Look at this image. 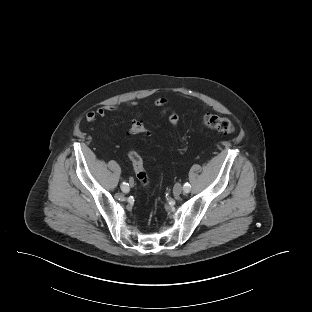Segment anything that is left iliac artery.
Segmentation results:
<instances>
[{
	"instance_id": "obj_1",
	"label": "left iliac artery",
	"mask_w": 312,
	"mask_h": 312,
	"mask_svg": "<svg viewBox=\"0 0 312 312\" xmlns=\"http://www.w3.org/2000/svg\"><path fill=\"white\" fill-rule=\"evenodd\" d=\"M190 184L187 182V183H185L184 184V186H183V190H184V192L185 193H188L189 191H190Z\"/></svg>"
}]
</instances>
